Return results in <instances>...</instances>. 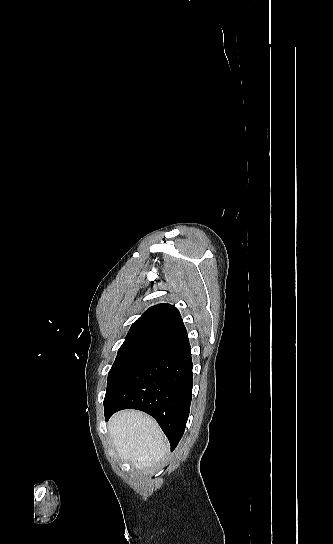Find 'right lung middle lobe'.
<instances>
[{
	"label": "right lung middle lobe",
	"instance_id": "dd1d6c3e",
	"mask_svg": "<svg viewBox=\"0 0 333 544\" xmlns=\"http://www.w3.org/2000/svg\"><path fill=\"white\" fill-rule=\"evenodd\" d=\"M150 347H131L119 349L108 375V385L104 405L122 388L137 367L148 357Z\"/></svg>",
	"mask_w": 333,
	"mask_h": 544
}]
</instances>
